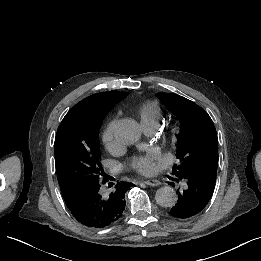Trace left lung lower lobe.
<instances>
[{
	"label": "left lung lower lobe",
	"mask_w": 261,
	"mask_h": 261,
	"mask_svg": "<svg viewBox=\"0 0 261 261\" xmlns=\"http://www.w3.org/2000/svg\"><path fill=\"white\" fill-rule=\"evenodd\" d=\"M179 178L185 184L179 191L178 201L169 214L176 218H189L205 208L214 192L215 181L191 172L185 173Z\"/></svg>",
	"instance_id": "left-lung-lower-lobe-1"
}]
</instances>
